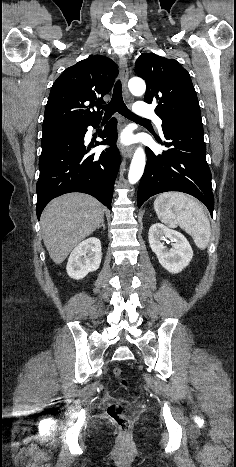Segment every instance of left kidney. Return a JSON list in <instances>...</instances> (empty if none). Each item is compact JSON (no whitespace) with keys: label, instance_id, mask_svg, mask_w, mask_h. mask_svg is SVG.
I'll return each mask as SVG.
<instances>
[{"label":"left kidney","instance_id":"5707ae66","mask_svg":"<svg viewBox=\"0 0 236 467\" xmlns=\"http://www.w3.org/2000/svg\"><path fill=\"white\" fill-rule=\"evenodd\" d=\"M148 235L152 251L156 254L161 266L168 272L176 274L189 265L193 251L181 233L156 223L150 227ZM165 239L172 242L170 249L162 242Z\"/></svg>","mask_w":236,"mask_h":467}]
</instances>
